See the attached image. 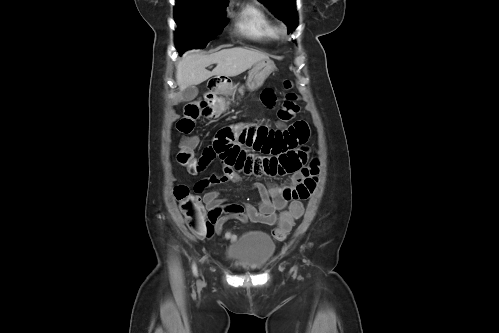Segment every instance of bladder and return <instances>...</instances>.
I'll return each instance as SVG.
<instances>
[{
  "label": "bladder",
  "instance_id": "bladder-1",
  "mask_svg": "<svg viewBox=\"0 0 499 333\" xmlns=\"http://www.w3.org/2000/svg\"><path fill=\"white\" fill-rule=\"evenodd\" d=\"M274 250L275 243L267 233L253 231L230 244L225 256L241 270L258 271L268 264Z\"/></svg>",
  "mask_w": 499,
  "mask_h": 333
}]
</instances>
